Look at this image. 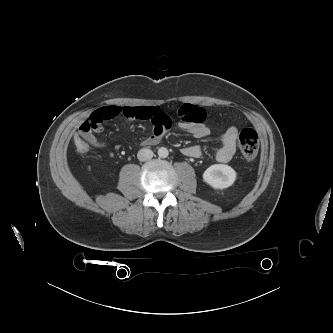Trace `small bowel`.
Segmentation results:
<instances>
[{
    "instance_id": "c3829d8e",
    "label": "small bowel",
    "mask_w": 333,
    "mask_h": 333,
    "mask_svg": "<svg viewBox=\"0 0 333 333\" xmlns=\"http://www.w3.org/2000/svg\"><path fill=\"white\" fill-rule=\"evenodd\" d=\"M180 122L178 127L195 138H204L209 135V129L205 125V110L192 104H183L179 110ZM113 119H122L129 122L135 119L150 121L153 125L151 134L143 140L145 145L158 144L164 134L171 127L170 117L160 107H119L108 106L94 111L79 127L78 136L85 138L94 146H102L95 136L103 130L104 122ZM238 130L236 127H229L221 137V145L215 153L218 162H229L236 153V142ZM185 156L198 158L201 153L199 145L186 146L182 149Z\"/></svg>"
}]
</instances>
